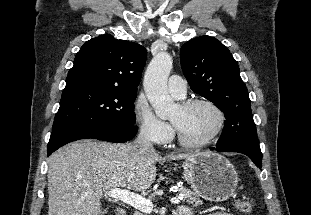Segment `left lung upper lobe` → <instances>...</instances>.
Listing matches in <instances>:
<instances>
[{
	"instance_id": "5c2ea615",
	"label": "left lung upper lobe",
	"mask_w": 311,
	"mask_h": 215,
	"mask_svg": "<svg viewBox=\"0 0 311 215\" xmlns=\"http://www.w3.org/2000/svg\"><path fill=\"white\" fill-rule=\"evenodd\" d=\"M180 57L191 89L213 102L225 115L217 145L233 141L258 144L248 90L230 51L216 38L201 36L186 42Z\"/></svg>"
}]
</instances>
